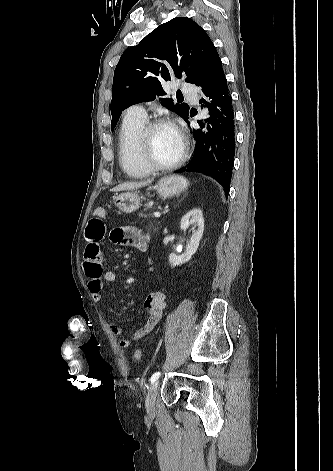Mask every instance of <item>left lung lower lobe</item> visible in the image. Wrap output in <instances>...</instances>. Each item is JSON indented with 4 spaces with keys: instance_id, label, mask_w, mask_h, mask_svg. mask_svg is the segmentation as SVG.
<instances>
[{
    "instance_id": "0a47b994",
    "label": "left lung lower lobe",
    "mask_w": 333,
    "mask_h": 471,
    "mask_svg": "<svg viewBox=\"0 0 333 471\" xmlns=\"http://www.w3.org/2000/svg\"><path fill=\"white\" fill-rule=\"evenodd\" d=\"M196 85L202 88L203 98L200 103L209 109L208 121L211 127L208 126L206 134L192 128L197 141L195 153L185 167L175 172H200L212 176L223 186L228 197L235 157V120L232 99L217 51ZM190 115L193 116L191 112ZM184 120L190 124L188 116Z\"/></svg>"
}]
</instances>
